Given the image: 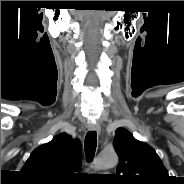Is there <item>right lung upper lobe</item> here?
I'll return each mask as SVG.
<instances>
[{
  "instance_id": "right-lung-upper-lobe-1",
  "label": "right lung upper lobe",
  "mask_w": 184,
  "mask_h": 184,
  "mask_svg": "<svg viewBox=\"0 0 184 184\" xmlns=\"http://www.w3.org/2000/svg\"><path fill=\"white\" fill-rule=\"evenodd\" d=\"M82 153L79 140L66 133L55 136L50 142L36 148L27 159L21 172L32 182L64 184L81 166Z\"/></svg>"
}]
</instances>
